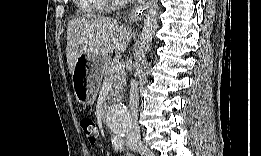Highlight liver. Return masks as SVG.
I'll return each mask as SVG.
<instances>
[{
    "instance_id": "obj_1",
    "label": "liver",
    "mask_w": 261,
    "mask_h": 156,
    "mask_svg": "<svg viewBox=\"0 0 261 156\" xmlns=\"http://www.w3.org/2000/svg\"><path fill=\"white\" fill-rule=\"evenodd\" d=\"M131 32L117 21L101 15H87L71 20L67 27L66 56L70 74L80 56H107L113 51L125 52Z\"/></svg>"
}]
</instances>
